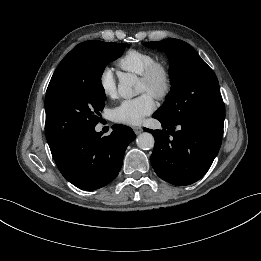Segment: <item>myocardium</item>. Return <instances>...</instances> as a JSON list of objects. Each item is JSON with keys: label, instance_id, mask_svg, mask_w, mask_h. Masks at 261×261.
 I'll return each mask as SVG.
<instances>
[{"label": "myocardium", "instance_id": "f54148a6", "mask_svg": "<svg viewBox=\"0 0 261 261\" xmlns=\"http://www.w3.org/2000/svg\"><path fill=\"white\" fill-rule=\"evenodd\" d=\"M140 80L147 85L150 94L159 100L166 98L172 88L171 69L164 61L156 60L150 64L140 75Z\"/></svg>", "mask_w": 261, "mask_h": 261}]
</instances>
